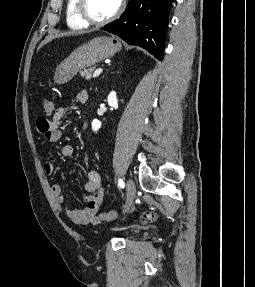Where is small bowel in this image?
Instances as JSON below:
<instances>
[{"instance_id":"small-bowel-1","label":"small bowel","mask_w":255,"mask_h":287,"mask_svg":"<svg viewBox=\"0 0 255 287\" xmlns=\"http://www.w3.org/2000/svg\"><path fill=\"white\" fill-rule=\"evenodd\" d=\"M88 95L86 92H80L76 96L78 104H83L87 101ZM65 108H58L51 120L45 117H39L37 119V130L43 135L45 140L50 143L58 142L62 137L61 123L66 115ZM63 157H71L74 153V147L70 144H66L60 151ZM44 171L46 174L51 175L55 171V165L53 161H47L44 164ZM85 190L89 193L85 197V204L80 209L71 210L65 207V196L63 195L60 185L55 184L51 188V193L56 203L57 208L61 213H64L72 222L84 225V224H99L103 220L99 215V210L104 200V189L102 186L101 175L96 170H89L87 172V182L85 184ZM158 219L156 212H145L141 215L140 221L143 224L154 222Z\"/></svg>"}]
</instances>
